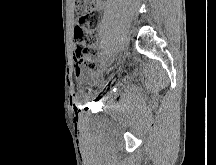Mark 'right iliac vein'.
Returning <instances> with one entry per match:
<instances>
[{
	"mask_svg": "<svg viewBox=\"0 0 216 165\" xmlns=\"http://www.w3.org/2000/svg\"><path fill=\"white\" fill-rule=\"evenodd\" d=\"M110 60H111V63H110V64H107V65L105 66L107 69H108L109 67L112 66V64L116 61V58H115V57H111Z\"/></svg>",
	"mask_w": 216,
	"mask_h": 165,
	"instance_id": "obj_1",
	"label": "right iliac vein"
}]
</instances>
